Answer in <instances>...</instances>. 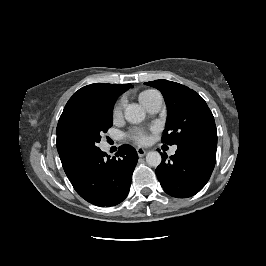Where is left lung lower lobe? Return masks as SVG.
Returning <instances> with one entry per match:
<instances>
[{
	"instance_id": "obj_1",
	"label": "left lung lower lobe",
	"mask_w": 266,
	"mask_h": 266,
	"mask_svg": "<svg viewBox=\"0 0 266 266\" xmlns=\"http://www.w3.org/2000/svg\"><path fill=\"white\" fill-rule=\"evenodd\" d=\"M217 143L197 142L177 146L176 153L167 155L156 168L157 178L164 191L177 198L198 193L208 182L216 161Z\"/></svg>"
}]
</instances>
